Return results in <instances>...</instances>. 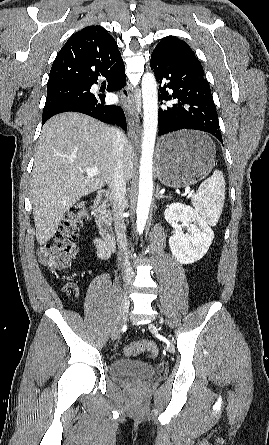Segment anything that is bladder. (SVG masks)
<instances>
[{
  "label": "bladder",
  "instance_id": "obj_1",
  "mask_svg": "<svg viewBox=\"0 0 269 445\" xmlns=\"http://www.w3.org/2000/svg\"><path fill=\"white\" fill-rule=\"evenodd\" d=\"M111 374L116 378H150L157 372L154 365L137 360L119 359L115 360L110 367Z\"/></svg>",
  "mask_w": 269,
  "mask_h": 445
}]
</instances>
